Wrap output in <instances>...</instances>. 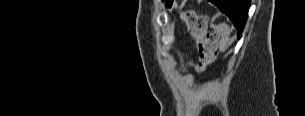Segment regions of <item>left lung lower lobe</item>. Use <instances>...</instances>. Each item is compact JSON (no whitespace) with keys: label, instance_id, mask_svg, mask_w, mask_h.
I'll return each mask as SVG.
<instances>
[{"label":"left lung lower lobe","instance_id":"0a47b994","mask_svg":"<svg viewBox=\"0 0 305 116\" xmlns=\"http://www.w3.org/2000/svg\"><path fill=\"white\" fill-rule=\"evenodd\" d=\"M211 2L231 19L240 37L248 17L250 0H211Z\"/></svg>","mask_w":305,"mask_h":116}]
</instances>
